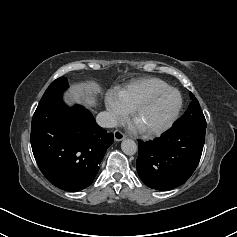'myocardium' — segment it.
<instances>
[{
  "label": "myocardium",
  "instance_id": "obj_1",
  "mask_svg": "<svg viewBox=\"0 0 237 237\" xmlns=\"http://www.w3.org/2000/svg\"><path fill=\"white\" fill-rule=\"evenodd\" d=\"M174 92L178 95V105L170 118L161 126L155 127V128H143L136 125V118L140 112H142L144 109H146L151 103H153L157 98L169 93ZM183 107V97L179 90H177L174 87H167L165 89L156 91L148 96H146L144 99H142L140 102H138L130 111L131 113V121L133 125L136 127L138 132H140L142 135L145 136H155L160 135L164 132H166L168 129H170L173 124L178 119L181 110Z\"/></svg>",
  "mask_w": 237,
  "mask_h": 237
}]
</instances>
